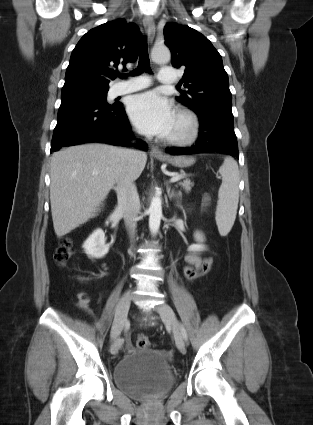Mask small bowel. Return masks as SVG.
Segmentation results:
<instances>
[{
    "mask_svg": "<svg viewBox=\"0 0 313 425\" xmlns=\"http://www.w3.org/2000/svg\"><path fill=\"white\" fill-rule=\"evenodd\" d=\"M185 261L188 263V266L195 267L199 269L204 260L195 253H189L185 256ZM78 306L85 312L92 314L89 308L90 297L86 292H80L77 294Z\"/></svg>",
    "mask_w": 313,
    "mask_h": 425,
    "instance_id": "1",
    "label": "small bowel"
}]
</instances>
